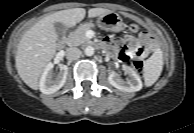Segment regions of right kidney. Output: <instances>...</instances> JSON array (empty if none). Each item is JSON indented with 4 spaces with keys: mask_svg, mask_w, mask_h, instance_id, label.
<instances>
[{
    "mask_svg": "<svg viewBox=\"0 0 194 133\" xmlns=\"http://www.w3.org/2000/svg\"><path fill=\"white\" fill-rule=\"evenodd\" d=\"M53 64H48L41 76L39 89L44 94H52L58 91L66 82L68 67L59 66V73L53 71Z\"/></svg>",
    "mask_w": 194,
    "mask_h": 133,
    "instance_id": "1",
    "label": "right kidney"
}]
</instances>
